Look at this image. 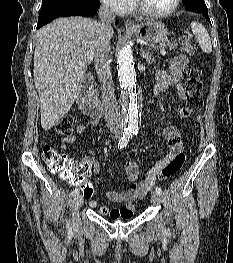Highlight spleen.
I'll return each instance as SVG.
<instances>
[{
    "label": "spleen",
    "mask_w": 233,
    "mask_h": 263,
    "mask_svg": "<svg viewBox=\"0 0 233 263\" xmlns=\"http://www.w3.org/2000/svg\"><path fill=\"white\" fill-rule=\"evenodd\" d=\"M191 29L193 34L195 35L199 45L204 53H211L212 52V44L210 40V36L205 29V27L198 23V22H191Z\"/></svg>",
    "instance_id": "obj_1"
}]
</instances>
